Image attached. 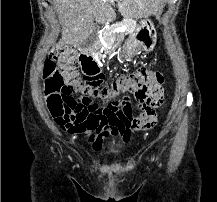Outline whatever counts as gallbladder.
<instances>
[{"mask_svg": "<svg viewBox=\"0 0 217 202\" xmlns=\"http://www.w3.org/2000/svg\"><path fill=\"white\" fill-rule=\"evenodd\" d=\"M96 40H98V34L96 30H93L92 34L88 36L85 42H83V47H88L90 44H95Z\"/></svg>", "mask_w": 217, "mask_h": 202, "instance_id": "obj_1", "label": "gallbladder"}]
</instances>
